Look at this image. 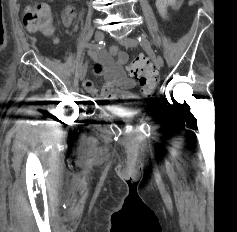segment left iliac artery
<instances>
[{
	"label": "left iliac artery",
	"instance_id": "obj_1",
	"mask_svg": "<svg viewBox=\"0 0 237 232\" xmlns=\"http://www.w3.org/2000/svg\"><path fill=\"white\" fill-rule=\"evenodd\" d=\"M138 40H139V42L142 41V40H143V37H139Z\"/></svg>",
	"mask_w": 237,
	"mask_h": 232
}]
</instances>
